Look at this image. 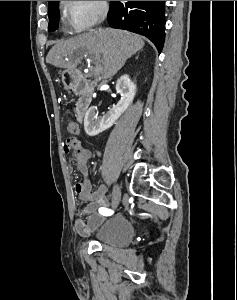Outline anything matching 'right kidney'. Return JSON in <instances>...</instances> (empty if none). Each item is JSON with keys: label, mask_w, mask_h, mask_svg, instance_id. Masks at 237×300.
I'll list each match as a JSON object with an SVG mask.
<instances>
[{"label": "right kidney", "mask_w": 237, "mask_h": 300, "mask_svg": "<svg viewBox=\"0 0 237 300\" xmlns=\"http://www.w3.org/2000/svg\"><path fill=\"white\" fill-rule=\"evenodd\" d=\"M116 91L120 93L121 99L108 113H103L100 117L97 107H90V109L86 111L84 129L86 135H89V137H95V135L103 133V131L110 129V127L114 125L115 121L121 117L122 113H124L130 103H132L136 93V85L132 83L128 75H123L116 83Z\"/></svg>", "instance_id": "right-kidney-1"}]
</instances>
